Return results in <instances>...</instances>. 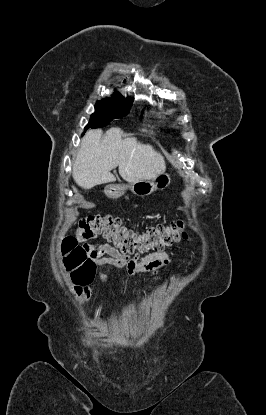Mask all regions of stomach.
<instances>
[{"instance_id": "1", "label": "stomach", "mask_w": 266, "mask_h": 415, "mask_svg": "<svg viewBox=\"0 0 266 415\" xmlns=\"http://www.w3.org/2000/svg\"><path fill=\"white\" fill-rule=\"evenodd\" d=\"M171 183V176L168 173H161L157 175L153 180H142L130 183V186L110 184L104 189V193L108 198L118 199L124 195L127 187L131 191L140 197L151 195L156 190H163L167 188Z\"/></svg>"}]
</instances>
